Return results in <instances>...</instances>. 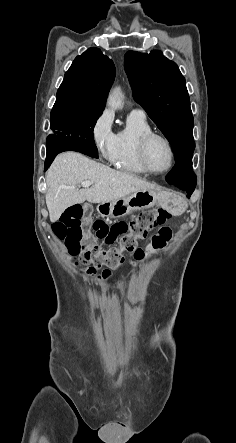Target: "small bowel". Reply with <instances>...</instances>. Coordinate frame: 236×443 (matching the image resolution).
<instances>
[{
    "instance_id": "small-bowel-1",
    "label": "small bowel",
    "mask_w": 236,
    "mask_h": 443,
    "mask_svg": "<svg viewBox=\"0 0 236 443\" xmlns=\"http://www.w3.org/2000/svg\"><path fill=\"white\" fill-rule=\"evenodd\" d=\"M165 242H166V238H164V237L161 235V233H158V234H156V235H154V236L152 237L151 242L148 244V248H149L150 250H157V249H160V248H162V247L165 245ZM139 251H140V252H143V250H141V249H139ZM143 258H144V255L140 258V260H143ZM84 271H85V273L88 274V275H94V274H95V269L92 268V267H88V268H86ZM99 279L103 280V279L101 278V274H100V276H99Z\"/></svg>"
}]
</instances>
